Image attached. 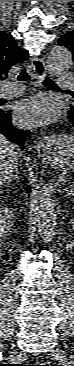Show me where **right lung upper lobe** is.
Listing matches in <instances>:
<instances>
[{"instance_id": "right-lung-upper-lobe-1", "label": "right lung upper lobe", "mask_w": 74, "mask_h": 366, "mask_svg": "<svg viewBox=\"0 0 74 366\" xmlns=\"http://www.w3.org/2000/svg\"><path fill=\"white\" fill-rule=\"evenodd\" d=\"M28 59V52L20 49L11 35L0 31V80L7 77L12 66Z\"/></svg>"}]
</instances>
